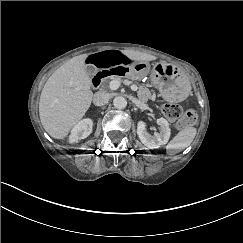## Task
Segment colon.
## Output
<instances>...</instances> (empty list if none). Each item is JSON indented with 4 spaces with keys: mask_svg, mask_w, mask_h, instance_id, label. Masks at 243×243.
<instances>
[{
    "mask_svg": "<svg viewBox=\"0 0 243 243\" xmlns=\"http://www.w3.org/2000/svg\"><path fill=\"white\" fill-rule=\"evenodd\" d=\"M162 112L169 120H178V127L185 128L193 125L197 120V114L194 110L183 111L177 103H167L163 106Z\"/></svg>",
    "mask_w": 243,
    "mask_h": 243,
    "instance_id": "obj_1",
    "label": "colon"
}]
</instances>
